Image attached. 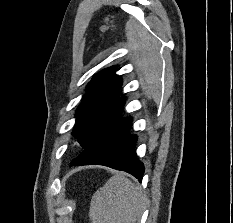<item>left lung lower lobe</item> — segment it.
I'll return each mask as SVG.
<instances>
[{
	"label": "left lung lower lobe",
	"instance_id": "obj_1",
	"mask_svg": "<svg viewBox=\"0 0 233 223\" xmlns=\"http://www.w3.org/2000/svg\"><path fill=\"white\" fill-rule=\"evenodd\" d=\"M121 109L71 163L99 164L122 170L142 181L144 166L135 156L137 136L130 135L132 119L119 118Z\"/></svg>",
	"mask_w": 233,
	"mask_h": 223
}]
</instances>
